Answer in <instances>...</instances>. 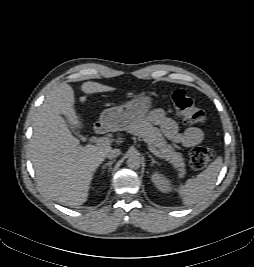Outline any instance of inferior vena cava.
<instances>
[{"label": "inferior vena cava", "instance_id": "602c4592", "mask_svg": "<svg viewBox=\"0 0 254 267\" xmlns=\"http://www.w3.org/2000/svg\"><path fill=\"white\" fill-rule=\"evenodd\" d=\"M121 154L119 149H111L106 153V157L109 159L115 158Z\"/></svg>", "mask_w": 254, "mask_h": 267}]
</instances>
